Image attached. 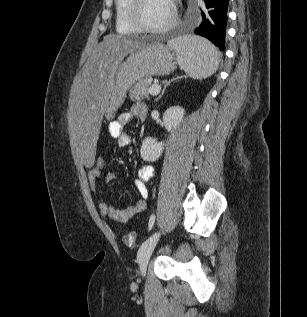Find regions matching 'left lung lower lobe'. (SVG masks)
I'll return each instance as SVG.
<instances>
[{
    "label": "left lung lower lobe",
    "mask_w": 307,
    "mask_h": 317,
    "mask_svg": "<svg viewBox=\"0 0 307 317\" xmlns=\"http://www.w3.org/2000/svg\"><path fill=\"white\" fill-rule=\"evenodd\" d=\"M194 33L209 39L222 51L225 46L228 0H203Z\"/></svg>",
    "instance_id": "obj_1"
}]
</instances>
